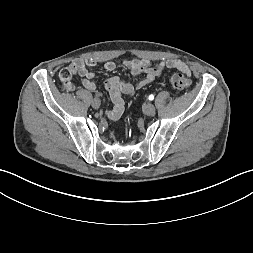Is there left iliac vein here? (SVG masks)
I'll use <instances>...</instances> for the list:
<instances>
[{
	"label": "left iliac vein",
	"mask_w": 253,
	"mask_h": 253,
	"mask_svg": "<svg viewBox=\"0 0 253 253\" xmlns=\"http://www.w3.org/2000/svg\"><path fill=\"white\" fill-rule=\"evenodd\" d=\"M155 111H156L155 106L151 103L146 104L144 107V113L148 116L154 115Z\"/></svg>",
	"instance_id": "obj_1"
}]
</instances>
